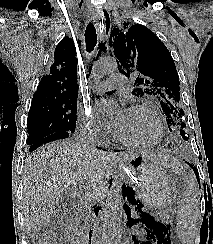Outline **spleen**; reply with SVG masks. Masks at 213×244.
Instances as JSON below:
<instances>
[{"instance_id": "obj_1", "label": "spleen", "mask_w": 213, "mask_h": 244, "mask_svg": "<svg viewBox=\"0 0 213 244\" xmlns=\"http://www.w3.org/2000/svg\"><path fill=\"white\" fill-rule=\"evenodd\" d=\"M169 165L174 170L182 168L175 160H172ZM185 181L187 187L182 192L178 203L177 210V230L178 236L182 244H192L199 230L200 220V193L194 174L187 172Z\"/></svg>"}]
</instances>
